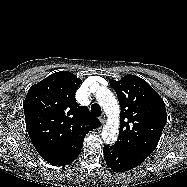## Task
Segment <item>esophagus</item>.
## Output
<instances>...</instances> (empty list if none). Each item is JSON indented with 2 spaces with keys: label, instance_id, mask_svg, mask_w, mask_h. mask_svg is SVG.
Wrapping results in <instances>:
<instances>
[{
  "label": "esophagus",
  "instance_id": "1",
  "mask_svg": "<svg viewBox=\"0 0 187 187\" xmlns=\"http://www.w3.org/2000/svg\"><path fill=\"white\" fill-rule=\"evenodd\" d=\"M99 120H100V122H101L102 124H105V122H106V117H105V115H102V116L99 118Z\"/></svg>",
  "mask_w": 187,
  "mask_h": 187
}]
</instances>
